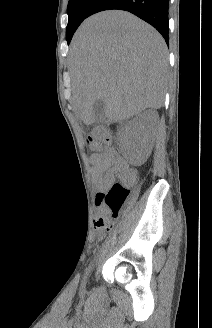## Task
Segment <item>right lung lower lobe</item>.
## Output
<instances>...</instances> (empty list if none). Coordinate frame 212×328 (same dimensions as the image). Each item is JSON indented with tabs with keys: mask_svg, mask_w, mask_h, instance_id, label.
I'll return each mask as SVG.
<instances>
[{
	"mask_svg": "<svg viewBox=\"0 0 212 328\" xmlns=\"http://www.w3.org/2000/svg\"><path fill=\"white\" fill-rule=\"evenodd\" d=\"M168 5L169 0H96L87 16L111 9L128 11L155 27L168 43Z\"/></svg>",
	"mask_w": 212,
	"mask_h": 328,
	"instance_id": "obj_1",
	"label": "right lung lower lobe"
}]
</instances>
